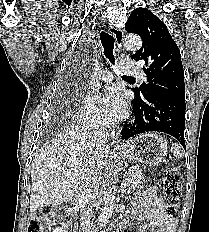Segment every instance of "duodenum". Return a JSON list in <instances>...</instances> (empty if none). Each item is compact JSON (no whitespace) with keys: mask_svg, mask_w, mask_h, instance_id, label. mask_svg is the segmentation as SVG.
I'll list each match as a JSON object with an SVG mask.
<instances>
[{"mask_svg":"<svg viewBox=\"0 0 209 232\" xmlns=\"http://www.w3.org/2000/svg\"><path fill=\"white\" fill-rule=\"evenodd\" d=\"M70 217L63 223V227L66 229H72L75 226V221L72 215V208L70 209Z\"/></svg>","mask_w":209,"mask_h":232,"instance_id":"obj_1","label":"duodenum"}]
</instances>
